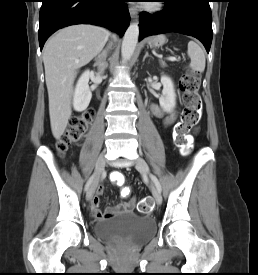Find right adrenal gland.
I'll list each match as a JSON object with an SVG mask.
<instances>
[{
    "label": "right adrenal gland",
    "mask_w": 258,
    "mask_h": 275,
    "mask_svg": "<svg viewBox=\"0 0 258 275\" xmlns=\"http://www.w3.org/2000/svg\"><path fill=\"white\" fill-rule=\"evenodd\" d=\"M106 57H107V54L105 51H103L100 55H98V57L95 58L94 66H98L100 64L105 63Z\"/></svg>",
    "instance_id": "obj_1"
}]
</instances>
